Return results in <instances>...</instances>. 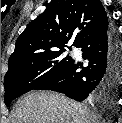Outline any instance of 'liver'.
I'll return each instance as SVG.
<instances>
[{
    "mask_svg": "<svg viewBox=\"0 0 122 123\" xmlns=\"http://www.w3.org/2000/svg\"><path fill=\"white\" fill-rule=\"evenodd\" d=\"M98 115L86 105L52 91H32L20 99L11 123H96Z\"/></svg>",
    "mask_w": 122,
    "mask_h": 123,
    "instance_id": "1",
    "label": "liver"
}]
</instances>
